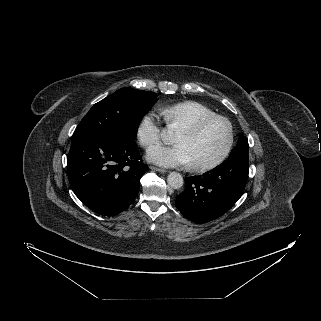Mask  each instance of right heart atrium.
<instances>
[{
    "label": "right heart atrium",
    "mask_w": 321,
    "mask_h": 321,
    "mask_svg": "<svg viewBox=\"0 0 321 321\" xmlns=\"http://www.w3.org/2000/svg\"><path fill=\"white\" fill-rule=\"evenodd\" d=\"M137 137L140 144L146 148L161 140L162 127L155 112H150L142 117L137 127Z\"/></svg>",
    "instance_id": "1"
}]
</instances>
